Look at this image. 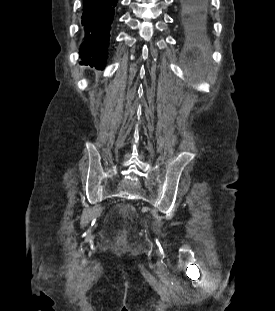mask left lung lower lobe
Wrapping results in <instances>:
<instances>
[{"mask_svg": "<svg viewBox=\"0 0 275 311\" xmlns=\"http://www.w3.org/2000/svg\"><path fill=\"white\" fill-rule=\"evenodd\" d=\"M181 27L186 33H195L207 27L206 9L208 0H179Z\"/></svg>", "mask_w": 275, "mask_h": 311, "instance_id": "left-lung-lower-lobe-1", "label": "left lung lower lobe"}]
</instances>
